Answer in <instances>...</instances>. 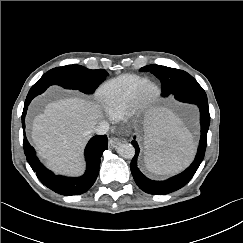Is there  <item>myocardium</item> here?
Masks as SVG:
<instances>
[{
    "instance_id": "obj_1",
    "label": "myocardium",
    "mask_w": 243,
    "mask_h": 243,
    "mask_svg": "<svg viewBox=\"0 0 243 243\" xmlns=\"http://www.w3.org/2000/svg\"><path fill=\"white\" fill-rule=\"evenodd\" d=\"M161 96L160 87L152 81H147L134 96L127 113L132 118H140L153 108Z\"/></svg>"
}]
</instances>
